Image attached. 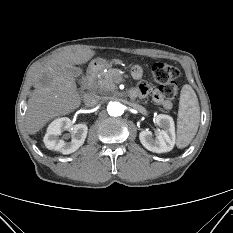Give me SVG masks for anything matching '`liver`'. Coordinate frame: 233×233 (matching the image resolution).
I'll return each mask as SVG.
<instances>
[{"mask_svg": "<svg viewBox=\"0 0 233 233\" xmlns=\"http://www.w3.org/2000/svg\"><path fill=\"white\" fill-rule=\"evenodd\" d=\"M94 55V50L80 46L59 53L36 72L35 89L28 99L25 116L29 134L37 133L50 120L69 114L81 105L76 81L67 68L85 64Z\"/></svg>", "mask_w": 233, "mask_h": 233, "instance_id": "6515ba94", "label": "liver"}]
</instances>
